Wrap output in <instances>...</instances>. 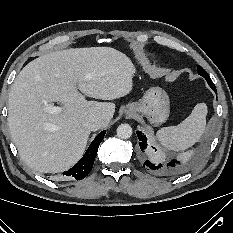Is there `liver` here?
Listing matches in <instances>:
<instances>
[{"label":"liver","mask_w":233,"mask_h":233,"mask_svg":"<svg viewBox=\"0 0 233 233\" xmlns=\"http://www.w3.org/2000/svg\"><path fill=\"white\" fill-rule=\"evenodd\" d=\"M135 70L130 58L111 47L71 48L40 56L15 78L8 98V125L20 157L41 173L71 168L82 157L90 131L82 122L89 115L108 125L115 112L111 102L133 89ZM58 103L61 112L47 107Z\"/></svg>","instance_id":"6515ba94"}]
</instances>
